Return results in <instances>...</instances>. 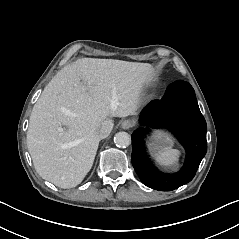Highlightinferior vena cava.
<instances>
[{"label":"inferior vena cava","instance_id":"inferior-vena-cava-1","mask_svg":"<svg viewBox=\"0 0 239 239\" xmlns=\"http://www.w3.org/2000/svg\"><path fill=\"white\" fill-rule=\"evenodd\" d=\"M113 128V122L112 121H105L102 123L101 127L97 130L96 136L99 139H104L109 136L110 132Z\"/></svg>","mask_w":239,"mask_h":239}]
</instances>
